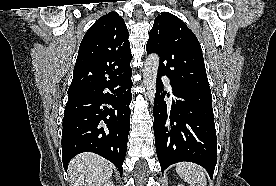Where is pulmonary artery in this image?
Instances as JSON below:
<instances>
[{"label": "pulmonary artery", "instance_id": "obj_1", "mask_svg": "<svg viewBox=\"0 0 276 186\" xmlns=\"http://www.w3.org/2000/svg\"><path fill=\"white\" fill-rule=\"evenodd\" d=\"M164 83H165L167 89H168L170 92H172V88H171V86H170V80H169L167 77L164 78Z\"/></svg>", "mask_w": 276, "mask_h": 186}]
</instances>
